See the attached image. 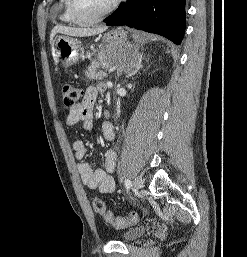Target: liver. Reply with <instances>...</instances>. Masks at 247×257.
<instances>
[{"mask_svg":"<svg viewBox=\"0 0 247 257\" xmlns=\"http://www.w3.org/2000/svg\"><path fill=\"white\" fill-rule=\"evenodd\" d=\"M106 29H107L106 26L96 27V28H75V27L57 25L51 31L50 42L53 41V38L57 33H61L69 36H75V37H87V36L95 35L97 33H102Z\"/></svg>","mask_w":247,"mask_h":257,"instance_id":"liver-1","label":"liver"}]
</instances>
